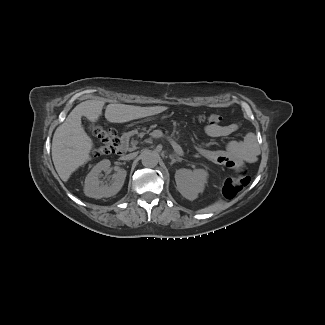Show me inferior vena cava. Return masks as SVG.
I'll return each instance as SVG.
<instances>
[{
    "label": "inferior vena cava",
    "mask_w": 325,
    "mask_h": 325,
    "mask_svg": "<svg viewBox=\"0 0 325 325\" xmlns=\"http://www.w3.org/2000/svg\"><path fill=\"white\" fill-rule=\"evenodd\" d=\"M135 156H136L135 153H130V154H128V155L122 156V159H123V160H131V159H134Z\"/></svg>",
    "instance_id": "obj_1"
}]
</instances>
